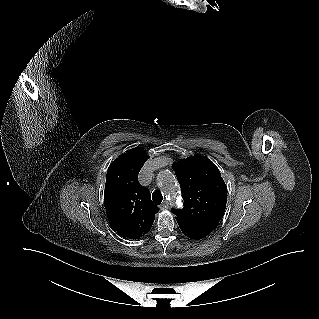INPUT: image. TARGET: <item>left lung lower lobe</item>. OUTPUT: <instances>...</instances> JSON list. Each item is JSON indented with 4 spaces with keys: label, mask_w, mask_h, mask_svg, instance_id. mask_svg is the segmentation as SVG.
I'll return each mask as SVG.
<instances>
[{
    "label": "left lung lower lobe",
    "mask_w": 319,
    "mask_h": 319,
    "mask_svg": "<svg viewBox=\"0 0 319 319\" xmlns=\"http://www.w3.org/2000/svg\"><path fill=\"white\" fill-rule=\"evenodd\" d=\"M177 222L179 224L181 231L187 237L192 238V239H202L212 232L211 230L197 228V227L186 224V223L179 221V220H177Z\"/></svg>",
    "instance_id": "left-lung-lower-lobe-1"
}]
</instances>
